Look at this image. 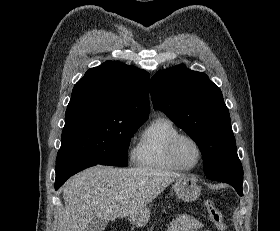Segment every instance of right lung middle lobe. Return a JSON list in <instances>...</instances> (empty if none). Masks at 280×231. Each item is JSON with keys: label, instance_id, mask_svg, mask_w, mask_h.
Wrapping results in <instances>:
<instances>
[{"label": "right lung middle lobe", "instance_id": "obj_1", "mask_svg": "<svg viewBox=\"0 0 280 231\" xmlns=\"http://www.w3.org/2000/svg\"><path fill=\"white\" fill-rule=\"evenodd\" d=\"M144 122L115 118L65 119L57 159L126 167L130 139Z\"/></svg>", "mask_w": 280, "mask_h": 231}]
</instances>
